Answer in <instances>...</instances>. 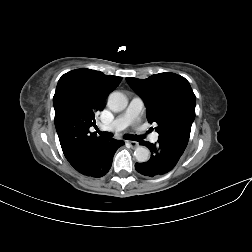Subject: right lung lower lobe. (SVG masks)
Instances as JSON below:
<instances>
[{
  "instance_id": "1",
  "label": "right lung lower lobe",
  "mask_w": 252,
  "mask_h": 252,
  "mask_svg": "<svg viewBox=\"0 0 252 252\" xmlns=\"http://www.w3.org/2000/svg\"><path fill=\"white\" fill-rule=\"evenodd\" d=\"M122 145L124 141L104 138L100 142L85 147L69 163L83 175L102 177L109 171L113 156Z\"/></svg>"
}]
</instances>
